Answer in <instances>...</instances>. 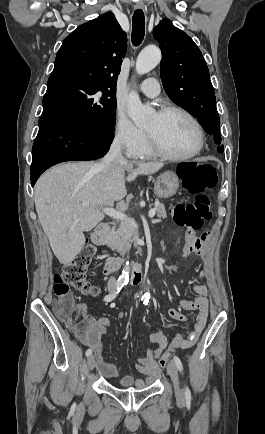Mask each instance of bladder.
<instances>
[{
    "label": "bladder",
    "instance_id": "bladder-1",
    "mask_svg": "<svg viewBox=\"0 0 265 434\" xmlns=\"http://www.w3.org/2000/svg\"><path fill=\"white\" fill-rule=\"evenodd\" d=\"M99 370L103 377L110 380L117 379L120 376V369L115 364H102Z\"/></svg>",
    "mask_w": 265,
    "mask_h": 434
}]
</instances>
